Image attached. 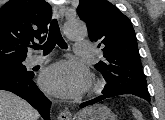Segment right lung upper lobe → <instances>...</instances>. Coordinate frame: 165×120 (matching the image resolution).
Returning a JSON list of instances; mask_svg holds the SVG:
<instances>
[{"instance_id":"cb5924a9","label":"right lung upper lobe","mask_w":165,"mask_h":120,"mask_svg":"<svg viewBox=\"0 0 165 120\" xmlns=\"http://www.w3.org/2000/svg\"><path fill=\"white\" fill-rule=\"evenodd\" d=\"M51 6L44 0H10L0 8V62L25 60L35 39L45 40Z\"/></svg>"}]
</instances>
